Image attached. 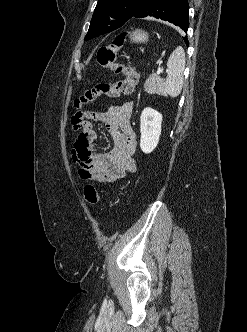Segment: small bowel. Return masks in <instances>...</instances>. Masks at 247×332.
Segmentation results:
<instances>
[{
    "instance_id": "small-bowel-1",
    "label": "small bowel",
    "mask_w": 247,
    "mask_h": 332,
    "mask_svg": "<svg viewBox=\"0 0 247 332\" xmlns=\"http://www.w3.org/2000/svg\"><path fill=\"white\" fill-rule=\"evenodd\" d=\"M133 112L131 102L109 107L106 112L91 111L85 116L102 122L113 141L109 152L96 148L97 132L93 125L81 120V129L73 149V159L79 165L80 178L88 183L108 186L137 169L133 155L137 147L136 134L130 124Z\"/></svg>"
}]
</instances>
